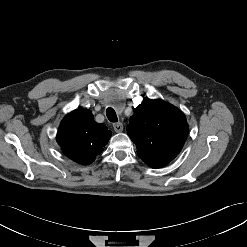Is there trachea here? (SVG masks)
<instances>
[{
    "label": "trachea",
    "instance_id": "obj_1",
    "mask_svg": "<svg viewBox=\"0 0 247 247\" xmlns=\"http://www.w3.org/2000/svg\"><path fill=\"white\" fill-rule=\"evenodd\" d=\"M106 115H107L110 122H117L118 121L116 112L113 108H107Z\"/></svg>",
    "mask_w": 247,
    "mask_h": 247
}]
</instances>
